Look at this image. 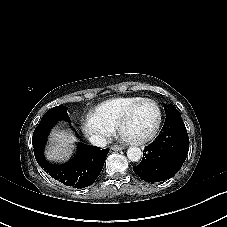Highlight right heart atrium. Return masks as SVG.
Listing matches in <instances>:
<instances>
[{"label": "right heart atrium", "mask_w": 227, "mask_h": 227, "mask_svg": "<svg viewBox=\"0 0 227 227\" xmlns=\"http://www.w3.org/2000/svg\"><path fill=\"white\" fill-rule=\"evenodd\" d=\"M83 133L90 143L98 145L110 137L111 130L89 123L83 128Z\"/></svg>", "instance_id": "d8ad5b80"}]
</instances>
